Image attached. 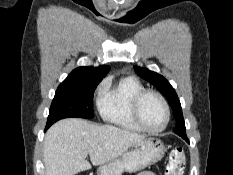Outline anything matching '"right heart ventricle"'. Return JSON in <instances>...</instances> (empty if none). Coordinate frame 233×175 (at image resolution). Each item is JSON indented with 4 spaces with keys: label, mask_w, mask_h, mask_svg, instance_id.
Instances as JSON below:
<instances>
[{
    "label": "right heart ventricle",
    "mask_w": 233,
    "mask_h": 175,
    "mask_svg": "<svg viewBox=\"0 0 233 175\" xmlns=\"http://www.w3.org/2000/svg\"><path fill=\"white\" fill-rule=\"evenodd\" d=\"M143 84L135 77L121 78L115 84H103L97 97V109L108 124L122 130L141 132L131 114V102L136 93L143 90Z\"/></svg>",
    "instance_id": "1"
}]
</instances>
